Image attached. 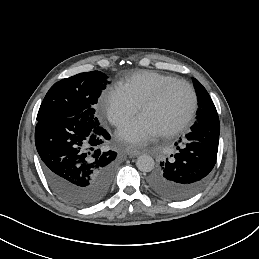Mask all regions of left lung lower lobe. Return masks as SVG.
Instances as JSON below:
<instances>
[{
	"label": "left lung lower lobe",
	"mask_w": 259,
	"mask_h": 259,
	"mask_svg": "<svg viewBox=\"0 0 259 259\" xmlns=\"http://www.w3.org/2000/svg\"><path fill=\"white\" fill-rule=\"evenodd\" d=\"M220 124L218 114L199 117L185 137L176 142L177 153L160 163L148 178L153 192L173 201L190 198L206 184L218 152Z\"/></svg>",
	"instance_id": "0a47b994"
}]
</instances>
